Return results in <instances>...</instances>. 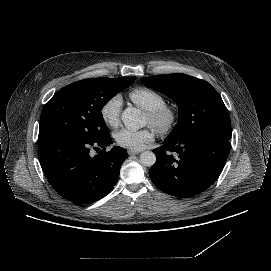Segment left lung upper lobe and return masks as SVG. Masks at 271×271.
Segmentation results:
<instances>
[{"mask_svg":"<svg viewBox=\"0 0 271 271\" xmlns=\"http://www.w3.org/2000/svg\"><path fill=\"white\" fill-rule=\"evenodd\" d=\"M141 81L170 96L178 105V123L166 139L181 138L205 129L231 131L228 110L208 82L182 73L143 77Z\"/></svg>","mask_w":271,"mask_h":271,"instance_id":"5c2ea615","label":"left lung upper lobe"}]
</instances>
